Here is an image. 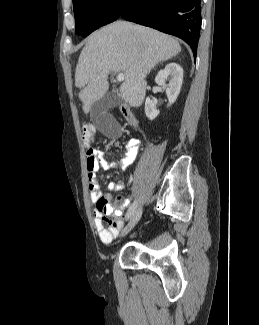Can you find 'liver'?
Wrapping results in <instances>:
<instances>
[{
  "mask_svg": "<svg viewBox=\"0 0 259 325\" xmlns=\"http://www.w3.org/2000/svg\"><path fill=\"white\" fill-rule=\"evenodd\" d=\"M181 46L173 37L149 27L115 21L93 32L78 59L75 86L88 114L93 103L109 89L110 72L123 73L120 95L132 107L140 106L146 92V75L159 62L175 57Z\"/></svg>",
  "mask_w": 259,
  "mask_h": 325,
  "instance_id": "1",
  "label": "liver"
}]
</instances>
